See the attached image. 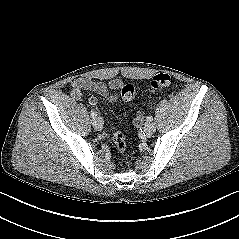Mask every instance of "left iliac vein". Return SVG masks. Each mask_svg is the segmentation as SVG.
<instances>
[{
    "mask_svg": "<svg viewBox=\"0 0 239 239\" xmlns=\"http://www.w3.org/2000/svg\"><path fill=\"white\" fill-rule=\"evenodd\" d=\"M144 131L147 135H151L154 133L155 131V125L151 122H147L145 125H144Z\"/></svg>",
    "mask_w": 239,
    "mask_h": 239,
    "instance_id": "obj_1",
    "label": "left iliac vein"
}]
</instances>
